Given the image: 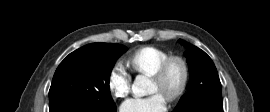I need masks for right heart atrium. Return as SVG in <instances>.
Wrapping results in <instances>:
<instances>
[{
    "mask_svg": "<svg viewBox=\"0 0 270 112\" xmlns=\"http://www.w3.org/2000/svg\"><path fill=\"white\" fill-rule=\"evenodd\" d=\"M132 77L126 67L115 63L108 73V87L115 98L122 99L128 96L131 90Z\"/></svg>",
    "mask_w": 270,
    "mask_h": 112,
    "instance_id": "obj_1",
    "label": "right heart atrium"
}]
</instances>
